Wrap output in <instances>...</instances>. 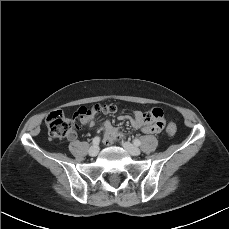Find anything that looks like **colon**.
I'll return each mask as SVG.
<instances>
[{"label": "colon", "instance_id": "obj_1", "mask_svg": "<svg viewBox=\"0 0 229 229\" xmlns=\"http://www.w3.org/2000/svg\"><path fill=\"white\" fill-rule=\"evenodd\" d=\"M116 111L117 107L114 104L104 106L93 104L89 107L80 108L78 114L81 116L96 112L112 114ZM144 122L152 124L154 129H160L164 124V112L160 108L152 109L144 113ZM46 126L50 136L54 139L65 138L74 128L73 124L65 117L61 110H54L48 114L46 118ZM176 130L177 127L173 123L169 124L166 128L168 135H174Z\"/></svg>", "mask_w": 229, "mask_h": 229}]
</instances>
